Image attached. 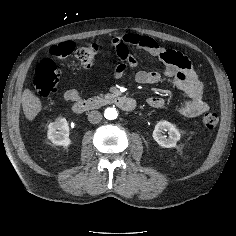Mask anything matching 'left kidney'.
Listing matches in <instances>:
<instances>
[{
	"label": "left kidney",
	"mask_w": 236,
	"mask_h": 236,
	"mask_svg": "<svg viewBox=\"0 0 236 236\" xmlns=\"http://www.w3.org/2000/svg\"><path fill=\"white\" fill-rule=\"evenodd\" d=\"M163 131H168V138L162 135ZM152 136L153 139L164 148L175 147L181 137L179 130L168 121H159L155 125Z\"/></svg>",
	"instance_id": "1"
}]
</instances>
